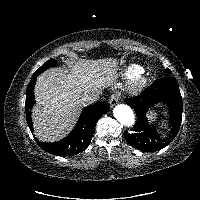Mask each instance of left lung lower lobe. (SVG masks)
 <instances>
[{
  "label": "left lung lower lobe",
  "instance_id": "left-lung-lower-lobe-1",
  "mask_svg": "<svg viewBox=\"0 0 200 200\" xmlns=\"http://www.w3.org/2000/svg\"><path fill=\"white\" fill-rule=\"evenodd\" d=\"M163 102L169 107L170 132L160 137L156 128L150 125L146 113L153 105ZM126 103L134 109L137 121L131 132H124L127 142L134 148L154 152L167 146L177 135L182 119V97L174 77H163L153 82L139 96L128 98Z\"/></svg>",
  "mask_w": 200,
  "mask_h": 200
}]
</instances>
